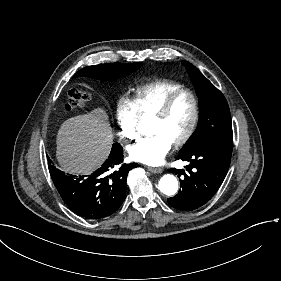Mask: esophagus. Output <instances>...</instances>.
<instances>
[{"label": "esophagus", "instance_id": "34e87169", "mask_svg": "<svg viewBox=\"0 0 281 281\" xmlns=\"http://www.w3.org/2000/svg\"><path fill=\"white\" fill-rule=\"evenodd\" d=\"M147 169L152 172V173H162L163 169L162 168H156V167H147Z\"/></svg>", "mask_w": 281, "mask_h": 281}]
</instances>
